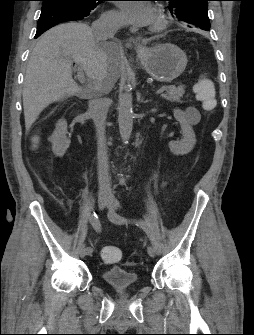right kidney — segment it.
<instances>
[{
  "label": "right kidney",
  "instance_id": "obj_1",
  "mask_svg": "<svg viewBox=\"0 0 254 335\" xmlns=\"http://www.w3.org/2000/svg\"><path fill=\"white\" fill-rule=\"evenodd\" d=\"M49 141L52 143V151L58 156L62 157L69 148L70 141L67 137V122L65 119H60L55 126V130Z\"/></svg>",
  "mask_w": 254,
  "mask_h": 335
}]
</instances>
